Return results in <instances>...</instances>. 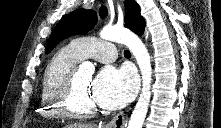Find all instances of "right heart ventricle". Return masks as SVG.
<instances>
[{"label": "right heart ventricle", "instance_id": "e07e8e85", "mask_svg": "<svg viewBox=\"0 0 221 128\" xmlns=\"http://www.w3.org/2000/svg\"><path fill=\"white\" fill-rule=\"evenodd\" d=\"M83 59L81 54L69 44L59 49L48 61L42 78L38 105V113L42 117L58 118L62 115L55 105L54 96L61 90L75 66Z\"/></svg>", "mask_w": 221, "mask_h": 128}]
</instances>
